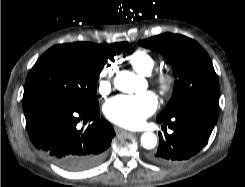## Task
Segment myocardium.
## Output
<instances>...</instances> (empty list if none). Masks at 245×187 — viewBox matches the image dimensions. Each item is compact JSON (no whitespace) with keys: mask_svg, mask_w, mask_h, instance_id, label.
<instances>
[{"mask_svg":"<svg viewBox=\"0 0 245 187\" xmlns=\"http://www.w3.org/2000/svg\"><path fill=\"white\" fill-rule=\"evenodd\" d=\"M152 82L163 95L171 94L176 86V78L170 71H158L154 74Z\"/></svg>","mask_w":245,"mask_h":187,"instance_id":"f54148a6","label":"myocardium"}]
</instances>
